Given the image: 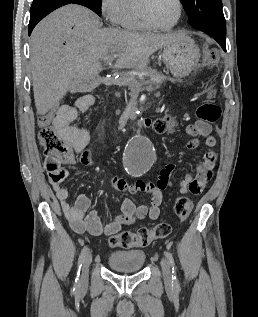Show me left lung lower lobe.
<instances>
[{
    "instance_id": "0a47b994",
    "label": "left lung lower lobe",
    "mask_w": 258,
    "mask_h": 317,
    "mask_svg": "<svg viewBox=\"0 0 258 317\" xmlns=\"http://www.w3.org/2000/svg\"><path fill=\"white\" fill-rule=\"evenodd\" d=\"M198 30L203 31L213 37L226 51V28H200Z\"/></svg>"
}]
</instances>
